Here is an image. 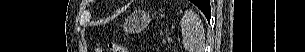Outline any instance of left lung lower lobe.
<instances>
[{
    "label": "left lung lower lobe",
    "mask_w": 305,
    "mask_h": 52,
    "mask_svg": "<svg viewBox=\"0 0 305 52\" xmlns=\"http://www.w3.org/2000/svg\"><path fill=\"white\" fill-rule=\"evenodd\" d=\"M199 9L204 13L207 20L210 21V17H211L210 1L209 0H204L203 8H199Z\"/></svg>",
    "instance_id": "0a47b994"
}]
</instances>
